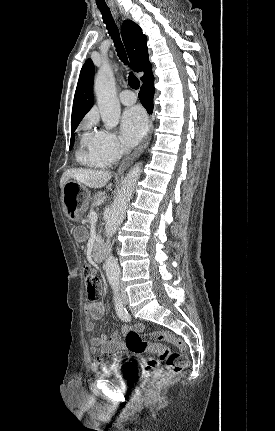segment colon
I'll return each mask as SVG.
<instances>
[{"mask_svg":"<svg viewBox=\"0 0 275 431\" xmlns=\"http://www.w3.org/2000/svg\"><path fill=\"white\" fill-rule=\"evenodd\" d=\"M87 292L90 299H97L101 296L103 291V284L101 281L99 271L90 266L85 265L83 268ZM152 337L159 341L168 342L179 348L178 352H170L166 347L158 344H152L144 340L136 331H129L125 336L126 348L136 354L145 352H156L161 360L166 361L163 368L158 366V362L154 358H149L146 364V372L151 376V380L147 384V391L154 393L162 389L170 378L184 370L188 365V356L186 354V347L184 342L167 332L155 331L151 334ZM100 363H110L109 356L102 355L99 357Z\"/></svg>","mask_w":275,"mask_h":431,"instance_id":"obj_1","label":"colon"}]
</instances>
